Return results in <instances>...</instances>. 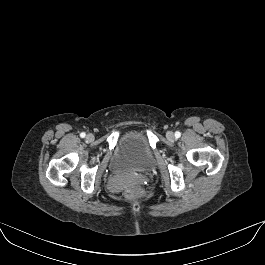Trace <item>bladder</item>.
<instances>
[{"label":"bladder","instance_id":"bladder-1","mask_svg":"<svg viewBox=\"0 0 265 265\" xmlns=\"http://www.w3.org/2000/svg\"><path fill=\"white\" fill-rule=\"evenodd\" d=\"M154 163V154L144 133L129 131L118 139L111 157L110 169L114 173L146 171Z\"/></svg>","mask_w":265,"mask_h":265}]
</instances>
